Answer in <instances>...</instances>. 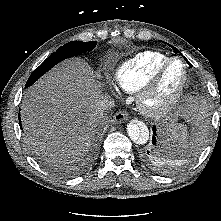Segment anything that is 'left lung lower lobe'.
<instances>
[{"label": "left lung lower lobe", "instance_id": "obj_1", "mask_svg": "<svg viewBox=\"0 0 221 221\" xmlns=\"http://www.w3.org/2000/svg\"><path fill=\"white\" fill-rule=\"evenodd\" d=\"M153 133H154V135L152 137V144L155 145L156 144V128H155V126H153ZM147 154H149V152H147ZM147 158H148V156H147Z\"/></svg>", "mask_w": 221, "mask_h": 221}]
</instances>
